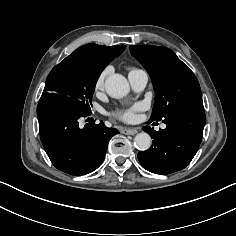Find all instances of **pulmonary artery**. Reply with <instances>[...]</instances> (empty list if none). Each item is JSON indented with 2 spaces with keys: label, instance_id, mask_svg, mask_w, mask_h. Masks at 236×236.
Masks as SVG:
<instances>
[{
  "label": "pulmonary artery",
  "instance_id": "1",
  "mask_svg": "<svg viewBox=\"0 0 236 236\" xmlns=\"http://www.w3.org/2000/svg\"><path fill=\"white\" fill-rule=\"evenodd\" d=\"M129 81L132 88L136 91H142L148 83V74L142 69H135L129 73ZM165 128V125H162Z\"/></svg>",
  "mask_w": 236,
  "mask_h": 236
}]
</instances>
